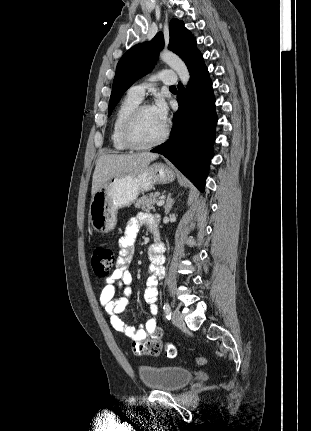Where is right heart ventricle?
Listing matches in <instances>:
<instances>
[{"label":"right heart ventricle","mask_w":311,"mask_h":431,"mask_svg":"<svg viewBox=\"0 0 311 431\" xmlns=\"http://www.w3.org/2000/svg\"><path fill=\"white\" fill-rule=\"evenodd\" d=\"M141 100L128 91L117 106L111 132V141L117 151H129L133 149L124 139L123 124L128 114L141 103Z\"/></svg>","instance_id":"e07e8e85"}]
</instances>
